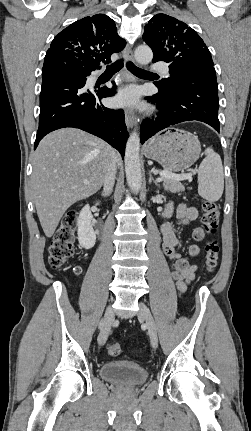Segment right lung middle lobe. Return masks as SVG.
<instances>
[{
    "mask_svg": "<svg viewBox=\"0 0 251 431\" xmlns=\"http://www.w3.org/2000/svg\"><path fill=\"white\" fill-rule=\"evenodd\" d=\"M51 68H68V69H72L78 73H82V71H81L82 68H80L74 64L64 62V61H56L53 64H51L48 68H43V70H48Z\"/></svg>",
    "mask_w": 251,
    "mask_h": 431,
    "instance_id": "obj_1",
    "label": "right lung middle lobe"
}]
</instances>
